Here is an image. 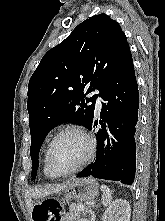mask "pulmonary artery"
<instances>
[{"label":"pulmonary artery","instance_id":"e3ab8cb5","mask_svg":"<svg viewBox=\"0 0 165 221\" xmlns=\"http://www.w3.org/2000/svg\"><path fill=\"white\" fill-rule=\"evenodd\" d=\"M95 94L97 95L96 98V111L99 113L102 107V98L98 95V92H95Z\"/></svg>","mask_w":165,"mask_h":221}]
</instances>
